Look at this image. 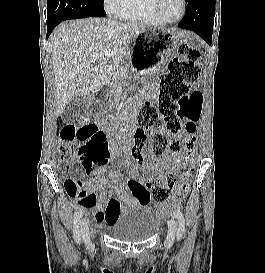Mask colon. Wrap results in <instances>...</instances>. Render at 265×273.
Here are the masks:
<instances>
[{"mask_svg":"<svg viewBox=\"0 0 265 273\" xmlns=\"http://www.w3.org/2000/svg\"><path fill=\"white\" fill-rule=\"evenodd\" d=\"M178 52L184 59L173 60L169 72L162 76L157 104L146 102L140 108L137 115L139 129L135 133L131 149V155L138 165L143 163V147L149 137L151 151L157 156L168 151L177 154L184 150L176 168L167 173L163 183L155 184L153 180L147 179L145 186L152 190L151 200L155 204H166L173 196L182 197L185 194L188 188L186 180L193 170L194 155L198 152L201 140L196 124L202 113L203 95L191 90V84L200 76V69L196 64L200 51L182 43ZM164 130L175 136L183 134L185 138H169ZM59 137L64 159L72 158L78 150L87 171L94 164L106 162V137L97 125H65L61 128ZM79 144L83 145L79 148ZM64 187L71 198L86 194L85 181L82 179L69 178ZM112 206L118 209L117 204Z\"/></svg>","mask_w":265,"mask_h":273,"instance_id":"colon-1","label":"colon"}]
</instances>
